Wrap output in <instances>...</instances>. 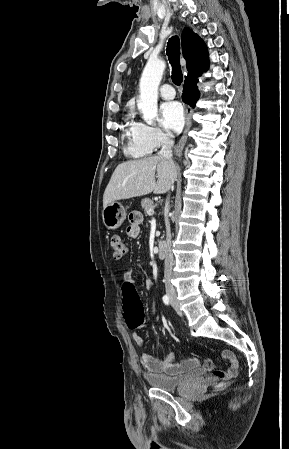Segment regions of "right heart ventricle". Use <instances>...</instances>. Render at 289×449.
<instances>
[{"label": "right heart ventricle", "mask_w": 289, "mask_h": 449, "mask_svg": "<svg viewBox=\"0 0 289 449\" xmlns=\"http://www.w3.org/2000/svg\"><path fill=\"white\" fill-rule=\"evenodd\" d=\"M124 137L126 139L125 152L133 157H143L150 153L149 149L138 141L136 137V123L129 121L127 128L124 131Z\"/></svg>", "instance_id": "e07e8e85"}]
</instances>
